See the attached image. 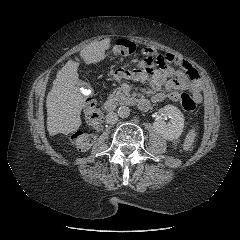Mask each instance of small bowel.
<instances>
[{"label":"small bowel","mask_w":240,"mask_h":240,"mask_svg":"<svg viewBox=\"0 0 240 240\" xmlns=\"http://www.w3.org/2000/svg\"><path fill=\"white\" fill-rule=\"evenodd\" d=\"M142 54L145 59L139 62L136 71L130 73L116 69L113 76L131 78L135 81H148L156 91L152 96L154 103L166 99L179 101L178 91H188L196 102H200L201 86L198 73L186 60L171 53L161 54L152 47L143 48Z\"/></svg>","instance_id":"c3829d8e"}]
</instances>
